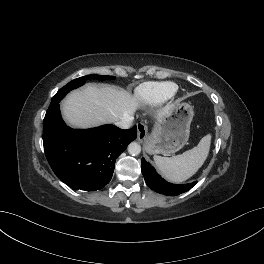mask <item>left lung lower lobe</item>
<instances>
[{
  "mask_svg": "<svg viewBox=\"0 0 264 264\" xmlns=\"http://www.w3.org/2000/svg\"><path fill=\"white\" fill-rule=\"evenodd\" d=\"M141 165L142 174L145 178L146 184L151 189L160 194L169 196L178 195L183 192H186L196 184V182L185 185H176L168 183L156 172V170L144 158H142L141 160Z\"/></svg>",
  "mask_w": 264,
  "mask_h": 264,
  "instance_id": "0a47b994",
  "label": "left lung lower lobe"
}]
</instances>
